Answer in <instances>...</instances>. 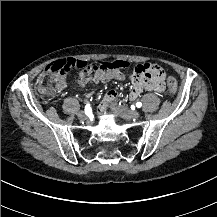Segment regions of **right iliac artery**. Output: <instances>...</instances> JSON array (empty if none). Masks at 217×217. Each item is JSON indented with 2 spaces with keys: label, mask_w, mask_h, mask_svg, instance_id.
Segmentation results:
<instances>
[{
  "label": "right iliac artery",
  "mask_w": 217,
  "mask_h": 217,
  "mask_svg": "<svg viewBox=\"0 0 217 217\" xmlns=\"http://www.w3.org/2000/svg\"><path fill=\"white\" fill-rule=\"evenodd\" d=\"M92 113V109H91V107H90V104H87L86 106H85V114L86 115H89V114H91Z\"/></svg>",
  "instance_id": "82829eb1"
}]
</instances>
